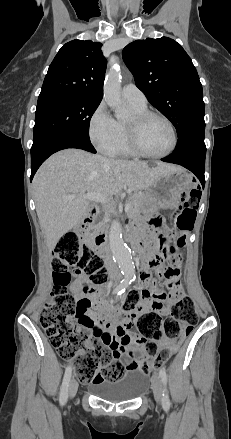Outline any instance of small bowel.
I'll use <instances>...</instances> for the list:
<instances>
[{"label":"small bowel","instance_id":"1","mask_svg":"<svg viewBox=\"0 0 231 439\" xmlns=\"http://www.w3.org/2000/svg\"><path fill=\"white\" fill-rule=\"evenodd\" d=\"M158 221V220H157ZM158 226V224H156ZM169 244L165 241L152 239L148 251L143 254L142 263L144 265L143 276L149 277L150 261L153 256L161 250L166 252ZM180 259H174L168 267L172 276L165 281L167 294H153L152 288L145 284L141 291V301L132 313L120 312L111 304L99 299L100 290L96 289L92 293H86L82 289L83 277L78 276L71 286L72 291L79 299L86 300L90 307L85 310L82 317L93 333L92 343H99L111 350V352L122 359L126 364L135 361V353L143 351L140 338L132 331L133 319L139 314L156 311L161 314L168 313L171 305L183 294V289L178 283ZM142 276V279L144 280ZM112 329L114 332H109ZM176 345L170 341H163L160 344L162 349ZM85 353V350H81ZM128 370V368L126 369Z\"/></svg>","mask_w":231,"mask_h":439}]
</instances>
